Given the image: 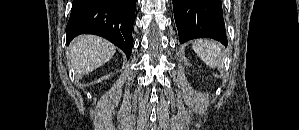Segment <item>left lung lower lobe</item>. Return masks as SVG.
Instances as JSON below:
<instances>
[{
  "instance_id": "obj_1",
  "label": "left lung lower lobe",
  "mask_w": 299,
  "mask_h": 130,
  "mask_svg": "<svg viewBox=\"0 0 299 130\" xmlns=\"http://www.w3.org/2000/svg\"><path fill=\"white\" fill-rule=\"evenodd\" d=\"M180 43L212 38L227 45L221 0H172Z\"/></svg>"
}]
</instances>
